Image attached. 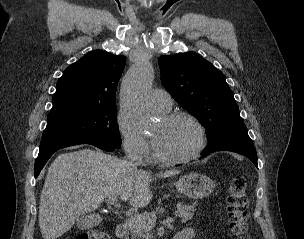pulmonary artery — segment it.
I'll return each mask as SVG.
<instances>
[{
    "mask_svg": "<svg viewBox=\"0 0 304 239\" xmlns=\"http://www.w3.org/2000/svg\"><path fill=\"white\" fill-rule=\"evenodd\" d=\"M149 100L151 104L161 112H168L172 107L170 94L162 89H153L150 92Z\"/></svg>",
    "mask_w": 304,
    "mask_h": 239,
    "instance_id": "obj_1",
    "label": "pulmonary artery"
}]
</instances>
